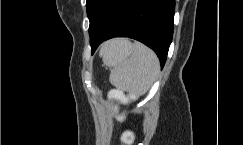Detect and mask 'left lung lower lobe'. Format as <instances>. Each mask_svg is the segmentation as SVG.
<instances>
[{"label":"left lung lower lobe","mask_w":243,"mask_h":145,"mask_svg":"<svg viewBox=\"0 0 243 145\" xmlns=\"http://www.w3.org/2000/svg\"><path fill=\"white\" fill-rule=\"evenodd\" d=\"M174 9L175 0H128L107 30L90 25L92 54L107 39L130 37L154 50L163 68L173 36Z\"/></svg>","instance_id":"0a47b994"}]
</instances>
